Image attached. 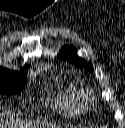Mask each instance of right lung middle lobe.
Segmentation results:
<instances>
[{
	"instance_id": "1",
	"label": "right lung middle lobe",
	"mask_w": 125,
	"mask_h": 128,
	"mask_svg": "<svg viewBox=\"0 0 125 128\" xmlns=\"http://www.w3.org/2000/svg\"><path fill=\"white\" fill-rule=\"evenodd\" d=\"M26 82V74L0 71V93L12 95L21 92Z\"/></svg>"
}]
</instances>
